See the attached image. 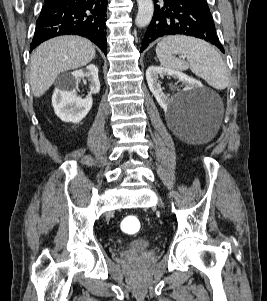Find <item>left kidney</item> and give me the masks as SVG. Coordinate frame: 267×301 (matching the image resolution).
<instances>
[{
    "label": "left kidney",
    "instance_id": "left-kidney-1",
    "mask_svg": "<svg viewBox=\"0 0 267 301\" xmlns=\"http://www.w3.org/2000/svg\"><path fill=\"white\" fill-rule=\"evenodd\" d=\"M159 76H171L173 78L179 79L185 86L182 90L183 92L192 91L194 88L199 86V82L188 75L176 70L167 69L164 67L150 66L146 70V79L148 87L152 94L155 96L158 104L164 110H168L172 107L174 103L173 97L166 96L159 83Z\"/></svg>",
    "mask_w": 267,
    "mask_h": 301
}]
</instances>
